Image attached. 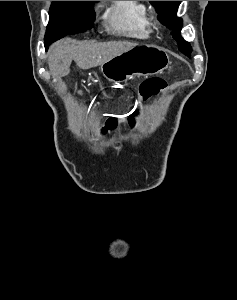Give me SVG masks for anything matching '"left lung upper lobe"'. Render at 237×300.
Masks as SVG:
<instances>
[{"mask_svg":"<svg viewBox=\"0 0 237 300\" xmlns=\"http://www.w3.org/2000/svg\"><path fill=\"white\" fill-rule=\"evenodd\" d=\"M159 14V20L173 31V38L177 41L180 50L184 54H190V43L186 42L180 35L182 19L176 17L177 9L181 1H150Z\"/></svg>","mask_w":237,"mask_h":300,"instance_id":"left-lung-upper-lobe-1","label":"left lung upper lobe"}]
</instances>
